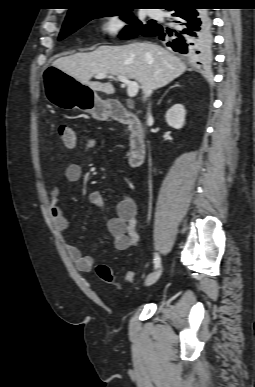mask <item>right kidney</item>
<instances>
[{
	"mask_svg": "<svg viewBox=\"0 0 255 387\" xmlns=\"http://www.w3.org/2000/svg\"><path fill=\"white\" fill-rule=\"evenodd\" d=\"M186 111L183 105L175 104L166 112L165 119L169 126L181 129L185 123Z\"/></svg>",
	"mask_w": 255,
	"mask_h": 387,
	"instance_id": "ca27d5eb",
	"label": "right kidney"
}]
</instances>
